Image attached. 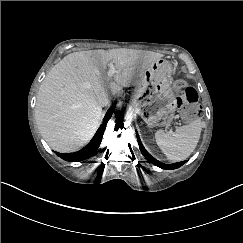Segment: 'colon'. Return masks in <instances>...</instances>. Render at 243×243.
<instances>
[{"instance_id": "1", "label": "colon", "mask_w": 243, "mask_h": 243, "mask_svg": "<svg viewBox=\"0 0 243 243\" xmlns=\"http://www.w3.org/2000/svg\"><path fill=\"white\" fill-rule=\"evenodd\" d=\"M174 93L184 121L191 122L201 117L202 111L198 105V95L194 88L183 81H177L174 84Z\"/></svg>"}]
</instances>
